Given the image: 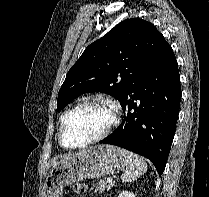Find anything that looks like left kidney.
<instances>
[{"label": "left kidney", "instance_id": "obj_1", "mask_svg": "<svg viewBox=\"0 0 209 197\" xmlns=\"http://www.w3.org/2000/svg\"><path fill=\"white\" fill-rule=\"evenodd\" d=\"M118 197H136V195L133 192L123 191Z\"/></svg>", "mask_w": 209, "mask_h": 197}]
</instances>
